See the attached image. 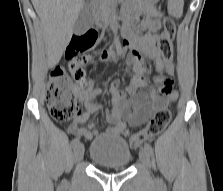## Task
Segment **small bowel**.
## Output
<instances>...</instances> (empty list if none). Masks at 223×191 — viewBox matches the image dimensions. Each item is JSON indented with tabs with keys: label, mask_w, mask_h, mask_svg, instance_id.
Wrapping results in <instances>:
<instances>
[{
	"label": "small bowel",
	"mask_w": 223,
	"mask_h": 191,
	"mask_svg": "<svg viewBox=\"0 0 223 191\" xmlns=\"http://www.w3.org/2000/svg\"><path fill=\"white\" fill-rule=\"evenodd\" d=\"M145 12L147 16H141L139 24V27L144 31L142 34L134 33L128 24H124L122 28L127 47L131 46V54L127 64L134 72V77L127 86V92L133 98H129L123 92L119 80H113L109 86L113 108L109 111L96 103V97L103 92L101 88L86 87L83 90L75 88L84 110L78 113L69 124L68 132L70 134L83 136L89 140L100 136L102 132L96 128L94 123L85 125L91 114L100 111L103 112L107 123L110 125L105 133L119 134L124 131L126 123L139 126L148 119L156 108L176 100L177 92L173 89L170 78L173 73H165L168 74V77L156 76L154 82L157 89L153 88L147 80L141 81L145 59L154 62L155 71L158 74L164 73L163 63L165 62L156 45L159 38L158 32L161 28V12L150 3L145 6ZM109 58L110 54L107 52H103L100 56L101 61H106ZM139 90H148V93Z\"/></svg>",
	"instance_id": "small-bowel-1"
}]
</instances>
